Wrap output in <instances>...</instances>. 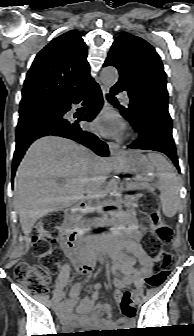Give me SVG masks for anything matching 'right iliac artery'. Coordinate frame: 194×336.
<instances>
[{
	"instance_id": "obj_1",
	"label": "right iliac artery",
	"mask_w": 194,
	"mask_h": 336,
	"mask_svg": "<svg viewBox=\"0 0 194 336\" xmlns=\"http://www.w3.org/2000/svg\"><path fill=\"white\" fill-rule=\"evenodd\" d=\"M62 305H63V303H60V304H59V307H62Z\"/></svg>"
}]
</instances>
